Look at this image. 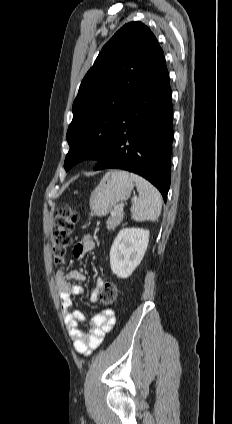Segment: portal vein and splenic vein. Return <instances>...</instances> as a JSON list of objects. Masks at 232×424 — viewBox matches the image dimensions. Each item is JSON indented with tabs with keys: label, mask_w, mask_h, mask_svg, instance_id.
I'll return each mask as SVG.
<instances>
[{
	"label": "portal vein and splenic vein",
	"mask_w": 232,
	"mask_h": 424,
	"mask_svg": "<svg viewBox=\"0 0 232 424\" xmlns=\"http://www.w3.org/2000/svg\"><path fill=\"white\" fill-rule=\"evenodd\" d=\"M135 200V199H134ZM119 212H123V205H120V207L118 208ZM115 212H112L111 215H114Z\"/></svg>",
	"instance_id": "1"
}]
</instances>
